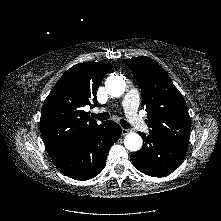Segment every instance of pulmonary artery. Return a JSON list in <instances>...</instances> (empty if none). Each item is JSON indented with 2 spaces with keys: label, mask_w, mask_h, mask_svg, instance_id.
I'll list each match as a JSON object with an SVG mask.
<instances>
[{
  "label": "pulmonary artery",
  "mask_w": 221,
  "mask_h": 221,
  "mask_svg": "<svg viewBox=\"0 0 221 221\" xmlns=\"http://www.w3.org/2000/svg\"><path fill=\"white\" fill-rule=\"evenodd\" d=\"M139 105V92L137 89H130L125 95L122 101V107L125 111L126 117L129 122L140 131L147 130V126L144 121L137 114V109Z\"/></svg>",
  "instance_id": "1"
}]
</instances>
